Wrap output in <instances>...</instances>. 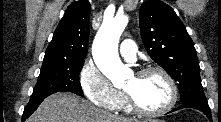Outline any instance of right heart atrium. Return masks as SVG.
Instances as JSON below:
<instances>
[{"label": "right heart atrium", "instance_id": "d8ad5b80", "mask_svg": "<svg viewBox=\"0 0 221 122\" xmlns=\"http://www.w3.org/2000/svg\"><path fill=\"white\" fill-rule=\"evenodd\" d=\"M79 83L87 99L106 110H114L121 96L93 60L88 59L79 72Z\"/></svg>", "mask_w": 221, "mask_h": 122}]
</instances>
